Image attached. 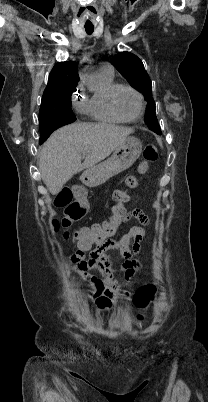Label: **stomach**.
<instances>
[{"label": "stomach", "instance_id": "0dacf381", "mask_svg": "<svg viewBox=\"0 0 208 402\" xmlns=\"http://www.w3.org/2000/svg\"><path fill=\"white\" fill-rule=\"evenodd\" d=\"M142 152V142L138 138H126L125 142L118 146L111 158L89 168L81 176V182L88 188H95L107 182L109 178L117 176L120 172L131 168Z\"/></svg>", "mask_w": 208, "mask_h": 402}]
</instances>
